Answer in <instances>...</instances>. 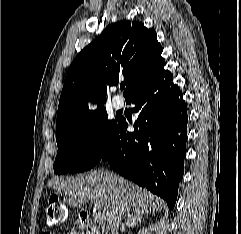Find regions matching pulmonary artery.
I'll use <instances>...</instances> for the list:
<instances>
[{
	"label": "pulmonary artery",
	"mask_w": 241,
	"mask_h": 234,
	"mask_svg": "<svg viewBox=\"0 0 241 234\" xmlns=\"http://www.w3.org/2000/svg\"><path fill=\"white\" fill-rule=\"evenodd\" d=\"M112 105L115 109H121L124 106V101L120 96H114L112 99Z\"/></svg>",
	"instance_id": "obj_1"
}]
</instances>
